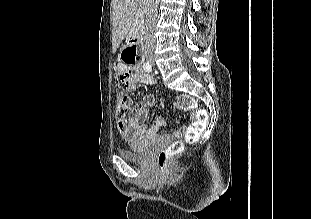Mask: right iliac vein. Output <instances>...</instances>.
<instances>
[{
  "instance_id": "1",
  "label": "right iliac vein",
  "mask_w": 311,
  "mask_h": 219,
  "mask_svg": "<svg viewBox=\"0 0 311 219\" xmlns=\"http://www.w3.org/2000/svg\"><path fill=\"white\" fill-rule=\"evenodd\" d=\"M148 60H149V61H153V57H149Z\"/></svg>"
}]
</instances>
